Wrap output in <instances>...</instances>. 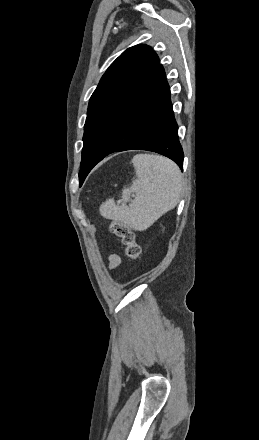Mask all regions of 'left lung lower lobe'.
<instances>
[{
  "label": "left lung lower lobe",
  "instance_id": "0a47b994",
  "mask_svg": "<svg viewBox=\"0 0 259 440\" xmlns=\"http://www.w3.org/2000/svg\"><path fill=\"white\" fill-rule=\"evenodd\" d=\"M125 150H148L162 154L183 169V151L178 139L170 100V88L162 65L117 126L95 165L105 156Z\"/></svg>",
  "mask_w": 259,
  "mask_h": 440
}]
</instances>
